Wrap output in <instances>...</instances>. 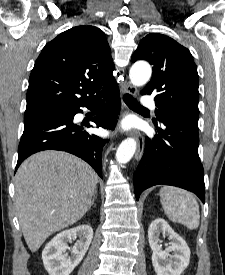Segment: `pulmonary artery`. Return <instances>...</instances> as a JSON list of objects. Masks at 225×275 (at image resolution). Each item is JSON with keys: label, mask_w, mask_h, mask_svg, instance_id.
I'll list each match as a JSON object with an SVG mask.
<instances>
[{"label": "pulmonary artery", "mask_w": 225, "mask_h": 275, "mask_svg": "<svg viewBox=\"0 0 225 275\" xmlns=\"http://www.w3.org/2000/svg\"><path fill=\"white\" fill-rule=\"evenodd\" d=\"M141 106L148 108H155L154 100L151 97H143L141 100Z\"/></svg>", "instance_id": "1"}]
</instances>
